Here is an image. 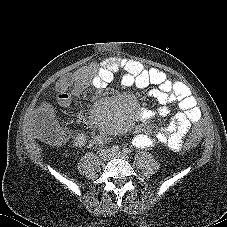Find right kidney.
<instances>
[{
	"instance_id": "ca27d5eb",
	"label": "right kidney",
	"mask_w": 227,
	"mask_h": 227,
	"mask_svg": "<svg viewBox=\"0 0 227 227\" xmlns=\"http://www.w3.org/2000/svg\"><path fill=\"white\" fill-rule=\"evenodd\" d=\"M87 136L84 133H79L74 137V146L76 147H83L86 145Z\"/></svg>"
}]
</instances>
